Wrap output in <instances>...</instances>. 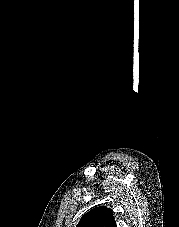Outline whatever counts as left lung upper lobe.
<instances>
[{
    "label": "left lung upper lobe",
    "instance_id": "obj_1",
    "mask_svg": "<svg viewBox=\"0 0 179 227\" xmlns=\"http://www.w3.org/2000/svg\"><path fill=\"white\" fill-rule=\"evenodd\" d=\"M76 227H117L112 211L100 206L82 216Z\"/></svg>",
    "mask_w": 179,
    "mask_h": 227
}]
</instances>
